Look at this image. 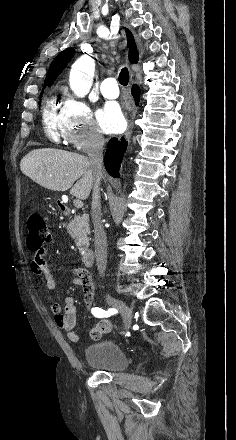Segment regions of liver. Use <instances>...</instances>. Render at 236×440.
<instances>
[{
  "mask_svg": "<svg viewBox=\"0 0 236 440\" xmlns=\"http://www.w3.org/2000/svg\"><path fill=\"white\" fill-rule=\"evenodd\" d=\"M20 169L40 186L53 191L71 189L70 193L82 200L88 198L93 187L89 159L78 153L35 149L23 157Z\"/></svg>",
  "mask_w": 236,
  "mask_h": 440,
  "instance_id": "obj_1",
  "label": "liver"
}]
</instances>
